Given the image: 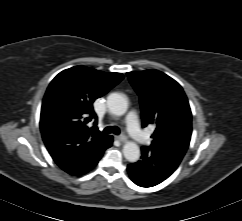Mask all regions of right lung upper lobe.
<instances>
[{
    "instance_id": "1",
    "label": "right lung upper lobe",
    "mask_w": 242,
    "mask_h": 221,
    "mask_svg": "<svg viewBox=\"0 0 242 221\" xmlns=\"http://www.w3.org/2000/svg\"><path fill=\"white\" fill-rule=\"evenodd\" d=\"M123 78L121 73L75 66L51 81L42 103L40 129L60 168L81 170L104 146L109 135L99 132L95 125L87 126L92 119L97 120L92 104Z\"/></svg>"
}]
</instances>
